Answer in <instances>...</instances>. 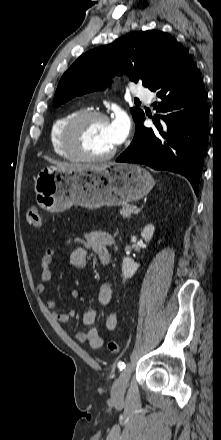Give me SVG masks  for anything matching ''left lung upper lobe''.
Segmentation results:
<instances>
[{"instance_id": "obj_1", "label": "left lung upper lobe", "mask_w": 221, "mask_h": 440, "mask_svg": "<svg viewBox=\"0 0 221 440\" xmlns=\"http://www.w3.org/2000/svg\"><path fill=\"white\" fill-rule=\"evenodd\" d=\"M183 48L170 35L161 31L128 33L115 42L81 55L63 74L54 105L60 106L71 98L103 90L114 75L126 73L132 81H141L150 88L172 65ZM134 62V63H133ZM136 125L144 113L131 108Z\"/></svg>"}]
</instances>
